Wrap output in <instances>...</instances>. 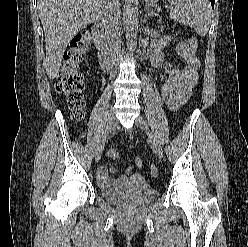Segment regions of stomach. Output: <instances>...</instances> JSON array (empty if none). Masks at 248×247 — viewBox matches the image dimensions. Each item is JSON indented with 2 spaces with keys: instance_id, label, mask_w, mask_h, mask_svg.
<instances>
[{
  "instance_id": "1",
  "label": "stomach",
  "mask_w": 248,
  "mask_h": 247,
  "mask_svg": "<svg viewBox=\"0 0 248 247\" xmlns=\"http://www.w3.org/2000/svg\"><path fill=\"white\" fill-rule=\"evenodd\" d=\"M159 0H145L146 3L148 4H155L157 3Z\"/></svg>"
}]
</instances>
